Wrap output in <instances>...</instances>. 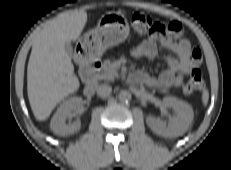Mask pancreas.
Returning <instances> with one entry per match:
<instances>
[{
	"label": "pancreas",
	"instance_id": "obj_1",
	"mask_svg": "<svg viewBox=\"0 0 231 170\" xmlns=\"http://www.w3.org/2000/svg\"><path fill=\"white\" fill-rule=\"evenodd\" d=\"M116 77H118V72L114 67L113 62L108 59L105 60L103 63L102 71L99 74V79L113 81Z\"/></svg>",
	"mask_w": 231,
	"mask_h": 170
}]
</instances>
